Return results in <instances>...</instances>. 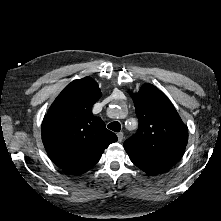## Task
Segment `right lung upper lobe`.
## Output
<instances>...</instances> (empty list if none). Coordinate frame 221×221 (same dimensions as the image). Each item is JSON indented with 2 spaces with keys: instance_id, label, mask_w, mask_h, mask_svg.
I'll list each match as a JSON object with an SVG mask.
<instances>
[{
  "instance_id": "1",
  "label": "right lung upper lobe",
  "mask_w": 221,
  "mask_h": 221,
  "mask_svg": "<svg viewBox=\"0 0 221 221\" xmlns=\"http://www.w3.org/2000/svg\"><path fill=\"white\" fill-rule=\"evenodd\" d=\"M102 93L90 77L74 80L59 94L42 123V141L52 161L61 169L99 160L117 141L92 106Z\"/></svg>"
}]
</instances>
